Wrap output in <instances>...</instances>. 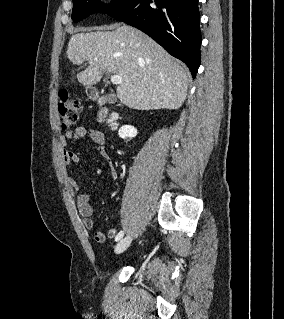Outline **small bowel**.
<instances>
[{"label": "small bowel", "mask_w": 284, "mask_h": 319, "mask_svg": "<svg viewBox=\"0 0 284 319\" xmlns=\"http://www.w3.org/2000/svg\"><path fill=\"white\" fill-rule=\"evenodd\" d=\"M84 137H88L93 143L97 145V150L100 156L108 158V154L105 148V134L96 128L86 129L82 126H78L73 130L66 131L61 138V144L63 146L67 145L68 141H77ZM63 160L66 164L78 163L80 158L79 155L71 150L63 151ZM117 174L115 170L112 171V178H116ZM69 185L73 190H79V183L72 177L68 179ZM77 208L82 216L83 225L86 229L91 230L94 226L92 215L94 213V208L90 202V196L86 193L79 194L77 196ZM117 234V229L112 228L108 231L107 236L101 232L96 231L94 233V240L96 242L102 243L105 241L106 237L113 238Z\"/></svg>", "instance_id": "small-bowel-1"}]
</instances>
